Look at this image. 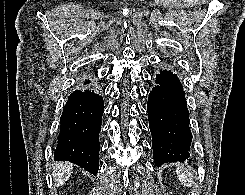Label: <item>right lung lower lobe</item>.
<instances>
[{
  "instance_id": "1",
  "label": "right lung lower lobe",
  "mask_w": 245,
  "mask_h": 195,
  "mask_svg": "<svg viewBox=\"0 0 245 195\" xmlns=\"http://www.w3.org/2000/svg\"><path fill=\"white\" fill-rule=\"evenodd\" d=\"M104 101L90 80L70 94L60 119L55 160H66L96 175Z\"/></svg>"
}]
</instances>
